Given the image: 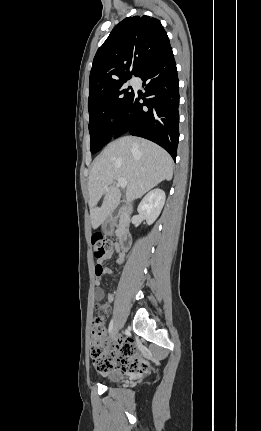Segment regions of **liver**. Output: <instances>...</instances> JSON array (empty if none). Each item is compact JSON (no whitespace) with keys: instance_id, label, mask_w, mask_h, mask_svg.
I'll return each instance as SVG.
<instances>
[{"instance_id":"6515ba94","label":"liver","mask_w":261,"mask_h":431,"mask_svg":"<svg viewBox=\"0 0 261 431\" xmlns=\"http://www.w3.org/2000/svg\"><path fill=\"white\" fill-rule=\"evenodd\" d=\"M173 176V160L160 146L146 139L125 136L111 142L95 159L88 190L90 218L97 229L116 209L120 192L117 178L127 180L128 200L142 197L163 180ZM103 202L97 206L100 199Z\"/></svg>"}]
</instances>
